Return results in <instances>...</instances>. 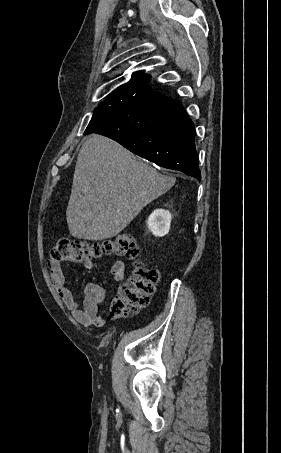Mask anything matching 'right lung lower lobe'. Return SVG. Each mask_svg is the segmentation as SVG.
I'll return each mask as SVG.
<instances>
[{"instance_id": "right-lung-lower-lobe-1", "label": "right lung lower lobe", "mask_w": 281, "mask_h": 453, "mask_svg": "<svg viewBox=\"0 0 281 453\" xmlns=\"http://www.w3.org/2000/svg\"><path fill=\"white\" fill-rule=\"evenodd\" d=\"M93 132L159 166L201 180L195 127L175 99L150 91L130 101L98 107L85 134Z\"/></svg>"}]
</instances>
